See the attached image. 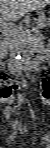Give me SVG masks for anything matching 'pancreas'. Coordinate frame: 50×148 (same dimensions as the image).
I'll return each instance as SVG.
<instances>
[{
	"mask_svg": "<svg viewBox=\"0 0 50 148\" xmlns=\"http://www.w3.org/2000/svg\"><path fill=\"white\" fill-rule=\"evenodd\" d=\"M25 29V26L22 24L18 26L13 25L11 27H8L4 32V35L6 37L5 44L11 52V59L9 60V64L11 66L14 65L13 63H15V60L13 59L15 52L32 47V40H34V42L41 40L40 31L34 30L33 34H31Z\"/></svg>",
	"mask_w": 50,
	"mask_h": 148,
	"instance_id": "obj_1",
	"label": "pancreas"
}]
</instances>
